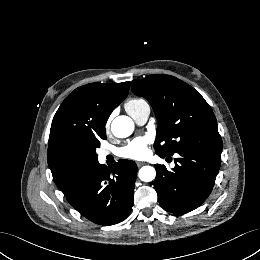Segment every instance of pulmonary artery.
Listing matches in <instances>:
<instances>
[{"mask_svg":"<svg viewBox=\"0 0 260 260\" xmlns=\"http://www.w3.org/2000/svg\"><path fill=\"white\" fill-rule=\"evenodd\" d=\"M129 115L135 120V122L139 125H143L150 115V107L146 103L136 109H126ZM107 151H102L101 155L105 156L107 155Z\"/></svg>","mask_w":260,"mask_h":260,"instance_id":"e3ab8cb5","label":"pulmonary artery"}]
</instances>
